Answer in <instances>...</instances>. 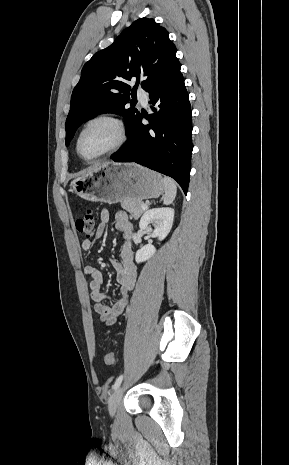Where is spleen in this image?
Returning a JSON list of instances; mask_svg holds the SVG:
<instances>
[{"label": "spleen", "instance_id": "spleen-1", "mask_svg": "<svg viewBox=\"0 0 289 465\" xmlns=\"http://www.w3.org/2000/svg\"><path fill=\"white\" fill-rule=\"evenodd\" d=\"M163 183L165 187V195L163 197V203L165 205L172 204L176 197L177 185L175 181L169 177H164Z\"/></svg>", "mask_w": 289, "mask_h": 465}]
</instances>
